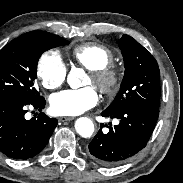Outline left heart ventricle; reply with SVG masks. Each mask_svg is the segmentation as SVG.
<instances>
[{"label": "left heart ventricle", "instance_id": "1", "mask_svg": "<svg viewBox=\"0 0 183 183\" xmlns=\"http://www.w3.org/2000/svg\"><path fill=\"white\" fill-rule=\"evenodd\" d=\"M91 82H92L91 77H89L88 78V83H91Z\"/></svg>", "mask_w": 183, "mask_h": 183}]
</instances>
